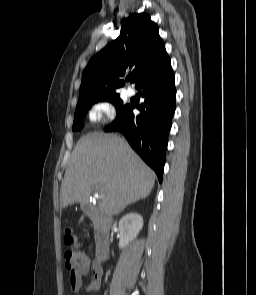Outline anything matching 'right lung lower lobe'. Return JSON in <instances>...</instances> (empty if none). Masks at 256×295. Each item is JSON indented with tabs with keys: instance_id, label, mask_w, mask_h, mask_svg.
I'll return each instance as SVG.
<instances>
[{
	"instance_id": "98d812e1",
	"label": "right lung lower lobe",
	"mask_w": 256,
	"mask_h": 295,
	"mask_svg": "<svg viewBox=\"0 0 256 295\" xmlns=\"http://www.w3.org/2000/svg\"><path fill=\"white\" fill-rule=\"evenodd\" d=\"M136 88L143 89L145 102L141 106L129 104L104 130L122 132L131 147L153 168L161 182L168 133L175 111L176 89L170 58L146 73ZM134 108L140 110L141 114L135 116Z\"/></svg>"
}]
</instances>
